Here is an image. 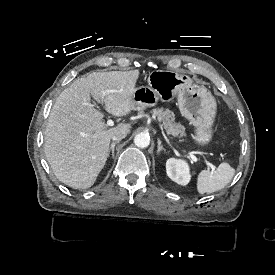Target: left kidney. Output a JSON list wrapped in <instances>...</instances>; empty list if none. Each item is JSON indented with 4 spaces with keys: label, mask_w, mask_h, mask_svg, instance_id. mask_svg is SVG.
<instances>
[{
    "label": "left kidney",
    "mask_w": 275,
    "mask_h": 275,
    "mask_svg": "<svg viewBox=\"0 0 275 275\" xmlns=\"http://www.w3.org/2000/svg\"><path fill=\"white\" fill-rule=\"evenodd\" d=\"M167 175L176 183L186 185L189 181L188 166L182 160L169 159L166 163Z\"/></svg>",
    "instance_id": "5707ae66"
}]
</instances>
